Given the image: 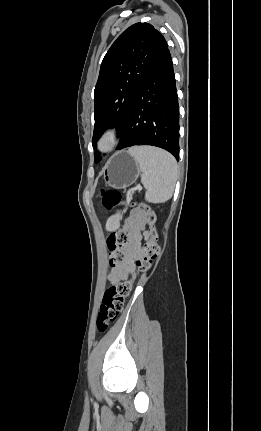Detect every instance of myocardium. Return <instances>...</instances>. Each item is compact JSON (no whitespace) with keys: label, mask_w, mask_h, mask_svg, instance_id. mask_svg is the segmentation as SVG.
<instances>
[{"label":"myocardium","mask_w":261,"mask_h":431,"mask_svg":"<svg viewBox=\"0 0 261 431\" xmlns=\"http://www.w3.org/2000/svg\"><path fill=\"white\" fill-rule=\"evenodd\" d=\"M118 142V131L116 128L106 129L98 138L97 150L101 154L111 152Z\"/></svg>","instance_id":"f54148a6"}]
</instances>
